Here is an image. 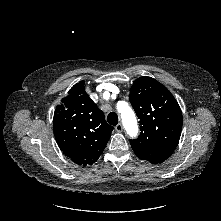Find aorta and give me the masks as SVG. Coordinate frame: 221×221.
<instances>
[{"label": "aorta", "instance_id": "aorta-1", "mask_svg": "<svg viewBox=\"0 0 221 221\" xmlns=\"http://www.w3.org/2000/svg\"><path fill=\"white\" fill-rule=\"evenodd\" d=\"M118 111L121 114L122 122L127 133L130 136H135L137 134L138 126L133 110L126 102H120L118 105Z\"/></svg>", "mask_w": 221, "mask_h": 221}]
</instances>
